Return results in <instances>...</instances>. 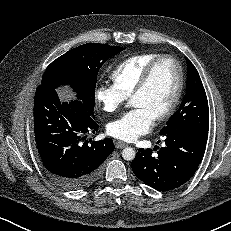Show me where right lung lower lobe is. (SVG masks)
<instances>
[{"instance_id":"98d812e1","label":"right lung lower lobe","mask_w":231,"mask_h":231,"mask_svg":"<svg viewBox=\"0 0 231 231\" xmlns=\"http://www.w3.org/2000/svg\"><path fill=\"white\" fill-rule=\"evenodd\" d=\"M33 110L38 152L52 181L68 190L94 183L114 150L110 138L85 140L98 130L94 116L80 100L60 102L55 88L45 85L36 89Z\"/></svg>"}]
</instances>
